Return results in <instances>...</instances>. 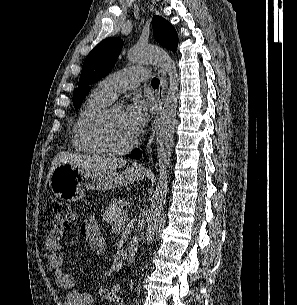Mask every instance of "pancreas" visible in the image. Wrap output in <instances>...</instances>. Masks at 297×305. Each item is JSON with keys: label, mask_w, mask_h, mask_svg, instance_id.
<instances>
[{"label": "pancreas", "mask_w": 297, "mask_h": 305, "mask_svg": "<svg viewBox=\"0 0 297 305\" xmlns=\"http://www.w3.org/2000/svg\"><path fill=\"white\" fill-rule=\"evenodd\" d=\"M125 215L123 210L122 201L114 199L109 207L105 210L103 218L108 223H115L118 220H121Z\"/></svg>", "instance_id": "cf45deb5"}]
</instances>
